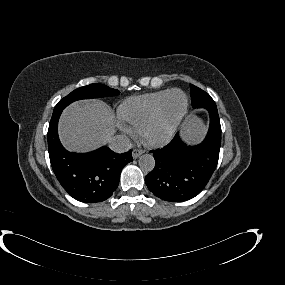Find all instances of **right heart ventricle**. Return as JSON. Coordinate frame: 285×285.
<instances>
[{
  "label": "right heart ventricle",
  "mask_w": 285,
  "mask_h": 285,
  "mask_svg": "<svg viewBox=\"0 0 285 285\" xmlns=\"http://www.w3.org/2000/svg\"><path fill=\"white\" fill-rule=\"evenodd\" d=\"M170 90L172 89L130 97L123 101L119 114L128 128L141 134L146 125L157 115Z\"/></svg>",
  "instance_id": "1"
}]
</instances>
